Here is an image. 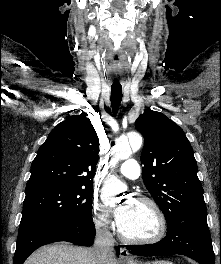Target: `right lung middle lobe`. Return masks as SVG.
Wrapping results in <instances>:
<instances>
[{
  "instance_id": "1",
  "label": "right lung middle lobe",
  "mask_w": 221,
  "mask_h": 264,
  "mask_svg": "<svg viewBox=\"0 0 221 264\" xmlns=\"http://www.w3.org/2000/svg\"><path fill=\"white\" fill-rule=\"evenodd\" d=\"M92 186L48 184L27 189L21 224L92 220Z\"/></svg>"
}]
</instances>
